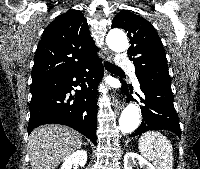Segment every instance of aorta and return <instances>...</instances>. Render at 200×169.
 Returning a JSON list of instances; mask_svg holds the SVG:
<instances>
[{"label":"aorta","instance_id":"1","mask_svg":"<svg viewBox=\"0 0 200 169\" xmlns=\"http://www.w3.org/2000/svg\"><path fill=\"white\" fill-rule=\"evenodd\" d=\"M107 44L115 52H123L128 47V39L122 31H111L107 35ZM140 125V112L136 104H128L119 118V128L122 133L135 131Z\"/></svg>","mask_w":200,"mask_h":169}]
</instances>
